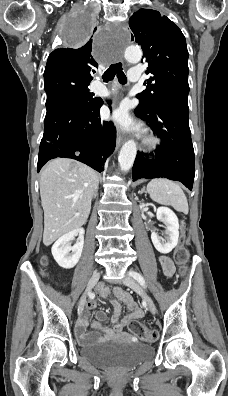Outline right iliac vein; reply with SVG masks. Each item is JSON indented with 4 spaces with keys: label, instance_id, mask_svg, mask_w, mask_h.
<instances>
[{
    "label": "right iliac vein",
    "instance_id": "right-iliac-vein-1",
    "mask_svg": "<svg viewBox=\"0 0 228 396\" xmlns=\"http://www.w3.org/2000/svg\"><path fill=\"white\" fill-rule=\"evenodd\" d=\"M99 278H100V272H94L93 275L91 276V278H90V280H89V282L87 284L86 292L81 297V300L79 302L78 315H81V313L83 312L84 305H85V302H86L87 293H89L91 291V289L96 285V283L98 282Z\"/></svg>",
    "mask_w": 228,
    "mask_h": 396
}]
</instances>
